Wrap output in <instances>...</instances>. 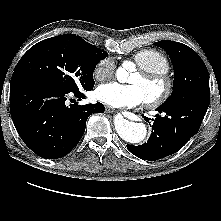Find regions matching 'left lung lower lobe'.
Returning <instances> with one entry per match:
<instances>
[{
	"label": "left lung lower lobe",
	"mask_w": 221,
	"mask_h": 221,
	"mask_svg": "<svg viewBox=\"0 0 221 221\" xmlns=\"http://www.w3.org/2000/svg\"><path fill=\"white\" fill-rule=\"evenodd\" d=\"M210 96L195 99L189 102L161 105L156 109L159 113H166L164 117L157 114L152 119V134L140 146L127 145L128 150L144 160H158L176 153L186 142L194 136L201 125ZM149 122V118L144 116Z\"/></svg>",
	"instance_id": "left-lung-lower-lobe-1"
}]
</instances>
